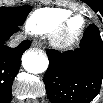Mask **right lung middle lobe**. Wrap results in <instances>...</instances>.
Returning a JSON list of instances; mask_svg holds the SVG:
<instances>
[{"label":"right lung middle lobe","mask_w":103,"mask_h":103,"mask_svg":"<svg viewBox=\"0 0 103 103\" xmlns=\"http://www.w3.org/2000/svg\"><path fill=\"white\" fill-rule=\"evenodd\" d=\"M30 5L21 7H1L0 8V25L21 26L25 22L27 15L31 11Z\"/></svg>","instance_id":"dd1d6c3e"}]
</instances>
